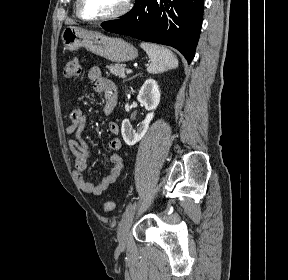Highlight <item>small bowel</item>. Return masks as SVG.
I'll return each instance as SVG.
<instances>
[{
	"mask_svg": "<svg viewBox=\"0 0 288 280\" xmlns=\"http://www.w3.org/2000/svg\"><path fill=\"white\" fill-rule=\"evenodd\" d=\"M88 78L94 83V90L97 93L103 94L105 97V113L111 114L114 110L110 106L112 101L117 102V86L116 84L103 76L102 71L98 67L90 68ZM88 117L81 109H74L69 114V124L65 131L70 136L68 146L74 155V178L79 189L88 194L101 195L109 186L115 183L121 176L124 170V163L119 154L122 143L116 137L119 133V125L110 121L107 125L109 133L113 136L110 139L108 146L112 154L110 155V163L112 165L108 174L97 184L87 182L83 177V172L87 168L90 148L87 143L82 140L81 133L87 125Z\"/></svg>",
	"mask_w": 288,
	"mask_h": 280,
	"instance_id": "small-bowel-1",
	"label": "small bowel"
}]
</instances>
